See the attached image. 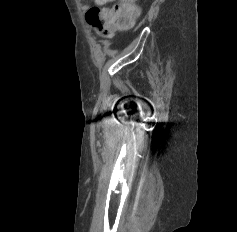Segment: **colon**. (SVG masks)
I'll list each match as a JSON object with an SVG mask.
<instances>
[{"instance_id":"colon-1","label":"colon","mask_w":237,"mask_h":232,"mask_svg":"<svg viewBox=\"0 0 237 232\" xmlns=\"http://www.w3.org/2000/svg\"><path fill=\"white\" fill-rule=\"evenodd\" d=\"M112 0H101L110 2ZM137 0H120L112 7H92L86 14V21L103 39H112L118 32L131 29L139 16Z\"/></svg>"}]
</instances>
